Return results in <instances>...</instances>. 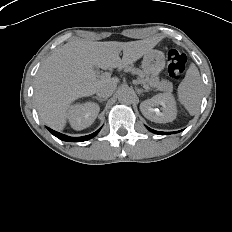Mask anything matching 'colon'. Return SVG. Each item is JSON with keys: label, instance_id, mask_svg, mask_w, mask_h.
Segmentation results:
<instances>
[{"label": "colon", "instance_id": "colon-1", "mask_svg": "<svg viewBox=\"0 0 232 232\" xmlns=\"http://www.w3.org/2000/svg\"><path fill=\"white\" fill-rule=\"evenodd\" d=\"M186 56L177 50H170L167 53V73L174 79H179L184 72L186 64Z\"/></svg>", "mask_w": 232, "mask_h": 232}]
</instances>
